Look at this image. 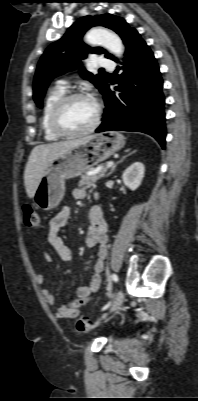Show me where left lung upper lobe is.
Segmentation results:
<instances>
[{
    "label": "left lung upper lobe",
    "mask_w": 198,
    "mask_h": 401,
    "mask_svg": "<svg viewBox=\"0 0 198 401\" xmlns=\"http://www.w3.org/2000/svg\"><path fill=\"white\" fill-rule=\"evenodd\" d=\"M98 25L115 31L122 38L124 44L129 34L134 30L128 26L123 18L111 14L85 16L78 19L61 39L46 49L38 63L33 83V98L39 107H42V100L50 81L60 74L75 69L80 64L81 59L87 57L90 47L82 42V36L89 28ZM92 52L105 54L106 58L115 60L111 54L101 47L95 48ZM81 75L90 80L102 93L106 84L102 75H93L84 69H82Z\"/></svg>",
    "instance_id": "obj_1"
}]
</instances>
